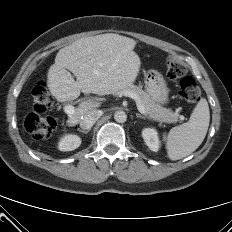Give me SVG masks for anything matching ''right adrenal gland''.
<instances>
[{"mask_svg":"<svg viewBox=\"0 0 232 232\" xmlns=\"http://www.w3.org/2000/svg\"><path fill=\"white\" fill-rule=\"evenodd\" d=\"M90 130H91V128H89V129H87V130H82V129L78 128V131L81 132V133H84V134L89 133Z\"/></svg>","mask_w":232,"mask_h":232,"instance_id":"2a0ac1e0","label":"right adrenal gland"}]
</instances>
